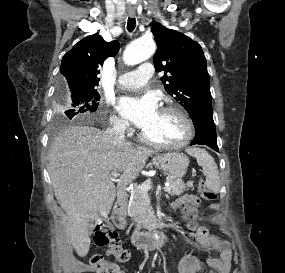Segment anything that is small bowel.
<instances>
[{"label": "small bowel", "instance_id": "small-bowel-1", "mask_svg": "<svg viewBox=\"0 0 285 273\" xmlns=\"http://www.w3.org/2000/svg\"><path fill=\"white\" fill-rule=\"evenodd\" d=\"M186 203H193L197 211L200 206V199L193 195H184L172 204V209L183 208ZM202 227L203 232H194L196 242L201 248L209 249L218 254V257L210 258L207 261L212 270H205L204 263L197 257L184 256L178 263V273H229L231 267L229 243L211 233L207 227Z\"/></svg>", "mask_w": 285, "mask_h": 273}]
</instances>
